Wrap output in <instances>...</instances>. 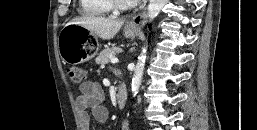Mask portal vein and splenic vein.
Returning a JSON list of instances; mask_svg holds the SVG:
<instances>
[{
	"label": "portal vein and splenic vein",
	"instance_id": "1",
	"mask_svg": "<svg viewBox=\"0 0 257 130\" xmlns=\"http://www.w3.org/2000/svg\"><path fill=\"white\" fill-rule=\"evenodd\" d=\"M118 62V58H115V57H112L111 58V63L112 64H115V63H117Z\"/></svg>",
	"mask_w": 257,
	"mask_h": 130
}]
</instances>
